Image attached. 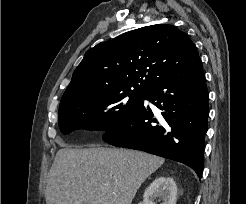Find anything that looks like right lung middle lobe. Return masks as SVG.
Listing matches in <instances>:
<instances>
[{"label":"right lung middle lobe","instance_id":"dd1d6c3e","mask_svg":"<svg viewBox=\"0 0 246 204\" xmlns=\"http://www.w3.org/2000/svg\"><path fill=\"white\" fill-rule=\"evenodd\" d=\"M142 93L126 92L84 98L59 107V127L63 134L76 129L101 134L116 129L135 110ZM129 96L128 102L124 100Z\"/></svg>","mask_w":246,"mask_h":204}]
</instances>
